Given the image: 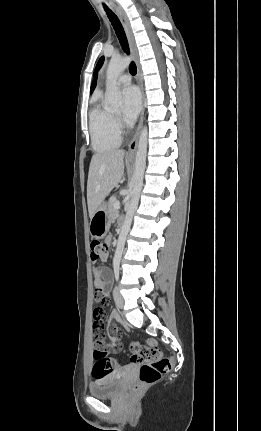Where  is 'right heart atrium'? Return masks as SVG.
I'll list each match as a JSON object with an SVG mask.
<instances>
[{
	"mask_svg": "<svg viewBox=\"0 0 261 431\" xmlns=\"http://www.w3.org/2000/svg\"><path fill=\"white\" fill-rule=\"evenodd\" d=\"M114 124L117 128L121 127V123H120L119 119H117V118H114Z\"/></svg>",
	"mask_w": 261,
	"mask_h": 431,
	"instance_id": "right-heart-atrium-1",
	"label": "right heart atrium"
}]
</instances>
